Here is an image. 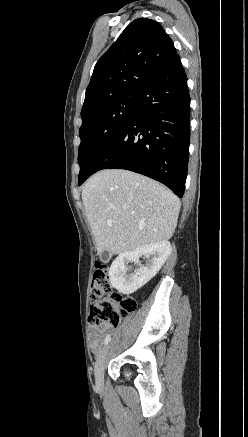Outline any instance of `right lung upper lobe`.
I'll return each instance as SVG.
<instances>
[{
    "label": "right lung upper lobe",
    "instance_id": "right-lung-upper-lobe-1",
    "mask_svg": "<svg viewBox=\"0 0 248 437\" xmlns=\"http://www.w3.org/2000/svg\"><path fill=\"white\" fill-rule=\"evenodd\" d=\"M176 56L173 41L158 22L134 20L96 63L81 118L119 97L137 95Z\"/></svg>",
    "mask_w": 248,
    "mask_h": 437
}]
</instances>
